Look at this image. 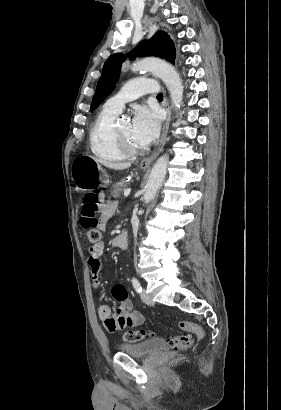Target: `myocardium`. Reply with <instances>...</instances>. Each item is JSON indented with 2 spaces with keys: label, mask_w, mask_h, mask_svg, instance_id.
I'll list each match as a JSON object with an SVG mask.
<instances>
[{
  "label": "myocardium",
  "mask_w": 281,
  "mask_h": 410,
  "mask_svg": "<svg viewBox=\"0 0 281 410\" xmlns=\"http://www.w3.org/2000/svg\"><path fill=\"white\" fill-rule=\"evenodd\" d=\"M114 138L117 142V144L119 145V147L122 149V151L126 154V155H138L140 153H142L144 151L143 148H137L135 146H133L119 131V128L117 125H115L114 127Z\"/></svg>",
  "instance_id": "f54148a6"
}]
</instances>
